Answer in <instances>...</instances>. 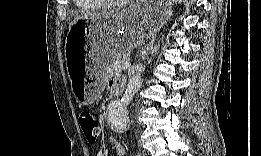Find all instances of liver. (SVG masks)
Here are the masks:
<instances>
[{
  "instance_id": "6515ba94",
  "label": "liver",
  "mask_w": 261,
  "mask_h": 156,
  "mask_svg": "<svg viewBox=\"0 0 261 156\" xmlns=\"http://www.w3.org/2000/svg\"><path fill=\"white\" fill-rule=\"evenodd\" d=\"M114 14H115L114 12H101L99 14H92V15H85L83 17H77L69 24V29L71 28L72 25H74L79 20L89 19V18H92V17H108V16H112Z\"/></svg>"
}]
</instances>
